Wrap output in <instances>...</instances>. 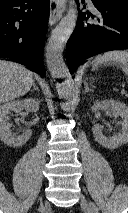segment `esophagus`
Returning <instances> with one entry per match:
<instances>
[{
    "instance_id": "obj_1",
    "label": "esophagus",
    "mask_w": 128,
    "mask_h": 213,
    "mask_svg": "<svg viewBox=\"0 0 128 213\" xmlns=\"http://www.w3.org/2000/svg\"><path fill=\"white\" fill-rule=\"evenodd\" d=\"M66 0H50L49 25L54 26L65 11Z\"/></svg>"
}]
</instances>
